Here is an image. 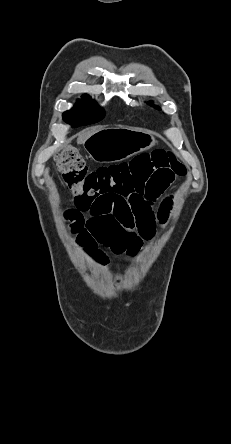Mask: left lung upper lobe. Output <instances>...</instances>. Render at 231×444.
Masks as SVG:
<instances>
[{"instance_id":"1","label":"left lung upper lobe","mask_w":231,"mask_h":444,"mask_svg":"<svg viewBox=\"0 0 231 444\" xmlns=\"http://www.w3.org/2000/svg\"><path fill=\"white\" fill-rule=\"evenodd\" d=\"M148 104H151V105H152V104H153V102H152V101H149V102H148ZM155 107H156V108H158L157 106H155Z\"/></svg>"}]
</instances>
